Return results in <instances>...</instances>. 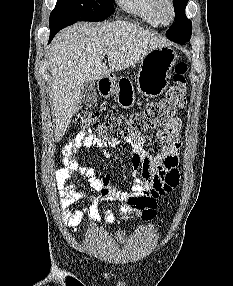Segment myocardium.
Listing matches in <instances>:
<instances>
[{"instance_id": "1", "label": "myocardium", "mask_w": 233, "mask_h": 286, "mask_svg": "<svg viewBox=\"0 0 233 286\" xmlns=\"http://www.w3.org/2000/svg\"><path fill=\"white\" fill-rule=\"evenodd\" d=\"M164 8H168L170 16L168 19L163 17L162 11ZM154 12L155 15L162 25H170L174 22L176 17V9L173 0H154Z\"/></svg>"}]
</instances>
